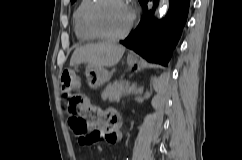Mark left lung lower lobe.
Segmentation results:
<instances>
[{"label": "left lung lower lobe", "instance_id": "1", "mask_svg": "<svg viewBox=\"0 0 242 160\" xmlns=\"http://www.w3.org/2000/svg\"><path fill=\"white\" fill-rule=\"evenodd\" d=\"M147 2L143 0L140 3L144 15L139 25L120 43L149 62L167 65L186 23L190 0H169V10L159 21L153 19L158 0H153V9H148Z\"/></svg>", "mask_w": 242, "mask_h": 160}]
</instances>
